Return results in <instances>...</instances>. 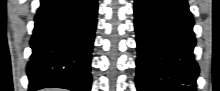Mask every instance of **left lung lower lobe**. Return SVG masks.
Wrapping results in <instances>:
<instances>
[{"label": "left lung lower lobe", "mask_w": 220, "mask_h": 91, "mask_svg": "<svg viewBox=\"0 0 220 91\" xmlns=\"http://www.w3.org/2000/svg\"><path fill=\"white\" fill-rule=\"evenodd\" d=\"M137 91H195L199 66L187 0H135Z\"/></svg>", "instance_id": "left-lung-lower-lobe-1"}]
</instances>
